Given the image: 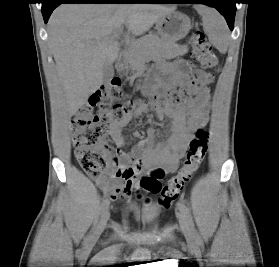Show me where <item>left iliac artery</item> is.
<instances>
[{
    "label": "left iliac artery",
    "mask_w": 279,
    "mask_h": 267,
    "mask_svg": "<svg viewBox=\"0 0 279 267\" xmlns=\"http://www.w3.org/2000/svg\"><path fill=\"white\" fill-rule=\"evenodd\" d=\"M178 208L181 211V213L184 215V217L186 218V220H187L188 224L190 225L191 229L196 234V240L200 241V237L197 234V232L195 230V227H194V222L192 220L190 210L188 209V207L184 203H178Z\"/></svg>",
    "instance_id": "obj_1"
}]
</instances>
